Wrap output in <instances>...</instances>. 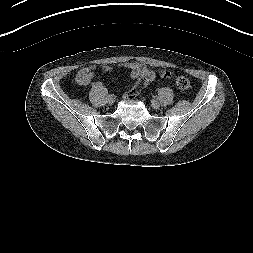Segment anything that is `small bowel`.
Listing matches in <instances>:
<instances>
[{
  "instance_id": "obj_1",
  "label": "small bowel",
  "mask_w": 253,
  "mask_h": 253,
  "mask_svg": "<svg viewBox=\"0 0 253 253\" xmlns=\"http://www.w3.org/2000/svg\"><path fill=\"white\" fill-rule=\"evenodd\" d=\"M125 67L129 70L131 77L134 79L141 78L145 82H149L155 77V72L145 65L135 62H128L125 64ZM95 69V66L82 68L76 77L78 84L83 86L89 85L94 77ZM102 69L104 71H110L111 67L103 66Z\"/></svg>"
}]
</instances>
